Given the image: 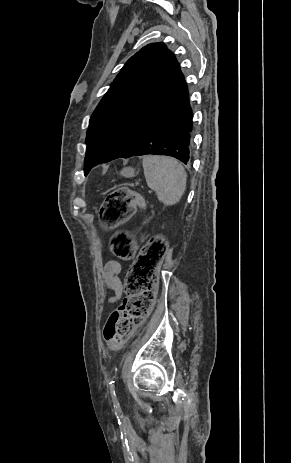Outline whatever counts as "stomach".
<instances>
[{"instance_id":"stomach-1","label":"stomach","mask_w":291,"mask_h":463,"mask_svg":"<svg viewBox=\"0 0 291 463\" xmlns=\"http://www.w3.org/2000/svg\"><path fill=\"white\" fill-rule=\"evenodd\" d=\"M120 174L124 177H134L135 170L132 167H126L120 171Z\"/></svg>"}]
</instances>
